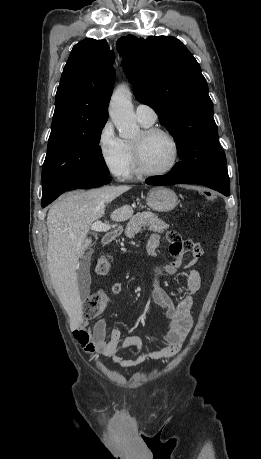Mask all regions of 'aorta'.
<instances>
[{
	"mask_svg": "<svg viewBox=\"0 0 261 459\" xmlns=\"http://www.w3.org/2000/svg\"><path fill=\"white\" fill-rule=\"evenodd\" d=\"M109 116L123 138H135L140 127L133 111L132 97L129 88L119 86L113 93L109 103Z\"/></svg>",
	"mask_w": 261,
	"mask_h": 459,
	"instance_id": "762f6f07",
	"label": "aorta"
}]
</instances>
